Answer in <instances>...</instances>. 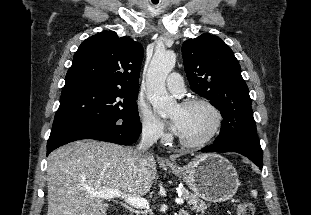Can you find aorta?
Returning <instances> with one entry per match:
<instances>
[{
  "label": "aorta",
  "instance_id": "762f6f07",
  "mask_svg": "<svg viewBox=\"0 0 311 215\" xmlns=\"http://www.w3.org/2000/svg\"><path fill=\"white\" fill-rule=\"evenodd\" d=\"M176 63V54L166 50L156 52L150 62L147 76V98L154 111L161 117L170 115L176 100L167 93L165 81Z\"/></svg>",
  "mask_w": 311,
  "mask_h": 215
}]
</instances>
